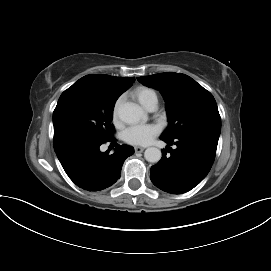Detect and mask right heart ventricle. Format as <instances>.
<instances>
[{
  "label": "right heart ventricle",
  "mask_w": 271,
  "mask_h": 271,
  "mask_svg": "<svg viewBox=\"0 0 271 271\" xmlns=\"http://www.w3.org/2000/svg\"><path fill=\"white\" fill-rule=\"evenodd\" d=\"M135 96L138 101L145 107L148 108L150 104L157 99L156 93L149 88L140 87L135 91Z\"/></svg>",
  "instance_id": "right-heart-ventricle-1"
}]
</instances>
